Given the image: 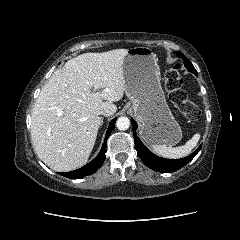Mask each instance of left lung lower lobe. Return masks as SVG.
<instances>
[{
  "label": "left lung lower lobe",
  "instance_id": "1",
  "mask_svg": "<svg viewBox=\"0 0 240 240\" xmlns=\"http://www.w3.org/2000/svg\"><path fill=\"white\" fill-rule=\"evenodd\" d=\"M197 75V74H196ZM132 125H133V135L135 139V147L138 153V156L140 159L144 162L146 166L151 168L152 170H155L157 172L161 173H169L174 172L183 166H185L187 163H189L199 152L201 146L198 147V149L193 152L190 156L182 158V159H165L158 157L154 155L152 152H150L141 142V140L136 135V129L137 124L136 122L131 119Z\"/></svg>",
  "mask_w": 240,
  "mask_h": 240
}]
</instances>
